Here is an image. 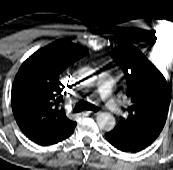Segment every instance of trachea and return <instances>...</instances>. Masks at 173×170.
Returning <instances> with one entry per match:
<instances>
[{
	"label": "trachea",
	"mask_w": 173,
	"mask_h": 170,
	"mask_svg": "<svg viewBox=\"0 0 173 170\" xmlns=\"http://www.w3.org/2000/svg\"><path fill=\"white\" fill-rule=\"evenodd\" d=\"M83 109H86V110H92V111H98L99 108L96 107L95 105L89 103V102H85L84 100H81L80 102H78V104L76 105L74 111L75 112H80L82 111Z\"/></svg>",
	"instance_id": "3493384b"
}]
</instances>
